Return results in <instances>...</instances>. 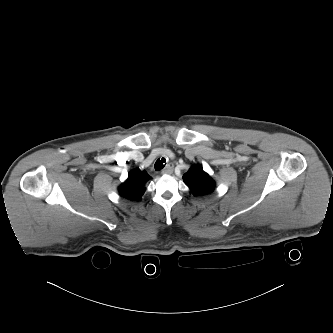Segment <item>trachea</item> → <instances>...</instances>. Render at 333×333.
<instances>
[{
  "label": "trachea",
  "mask_w": 333,
  "mask_h": 333,
  "mask_svg": "<svg viewBox=\"0 0 333 333\" xmlns=\"http://www.w3.org/2000/svg\"><path fill=\"white\" fill-rule=\"evenodd\" d=\"M166 162V159L165 158H162L161 160L158 159L156 162H155V165H154V168L156 171H160L161 169H163L165 167L164 163ZM166 164V163H165Z\"/></svg>",
  "instance_id": "3493384b"
}]
</instances>
